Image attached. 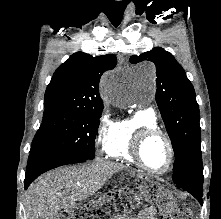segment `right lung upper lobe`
Wrapping results in <instances>:
<instances>
[{"label":"right lung upper lobe","mask_w":221,"mask_h":219,"mask_svg":"<svg viewBox=\"0 0 221 219\" xmlns=\"http://www.w3.org/2000/svg\"><path fill=\"white\" fill-rule=\"evenodd\" d=\"M116 61L113 54L97 57L83 52L73 54L55 71L45 92L44 106L103 108L99 80L104 71L115 67Z\"/></svg>","instance_id":"1"}]
</instances>
